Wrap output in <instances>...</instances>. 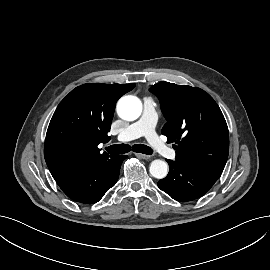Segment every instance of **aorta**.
<instances>
[{"label": "aorta", "instance_id": "762f6f07", "mask_svg": "<svg viewBox=\"0 0 270 270\" xmlns=\"http://www.w3.org/2000/svg\"><path fill=\"white\" fill-rule=\"evenodd\" d=\"M142 112V103L139 98L128 95L122 97L117 103V113L126 121L136 120ZM150 174L157 179H163L168 173V164L163 160H154L149 167Z\"/></svg>", "mask_w": 270, "mask_h": 270}]
</instances>
